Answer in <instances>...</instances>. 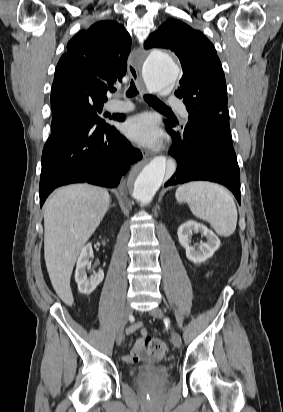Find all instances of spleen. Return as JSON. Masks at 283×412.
I'll return each mask as SVG.
<instances>
[{"instance_id":"1","label":"spleen","mask_w":283,"mask_h":412,"mask_svg":"<svg viewBox=\"0 0 283 412\" xmlns=\"http://www.w3.org/2000/svg\"><path fill=\"white\" fill-rule=\"evenodd\" d=\"M176 199L186 202L194 216L211 224L223 237L232 235L237 225V209L226 189L207 181L183 184L176 191Z\"/></svg>"}]
</instances>
